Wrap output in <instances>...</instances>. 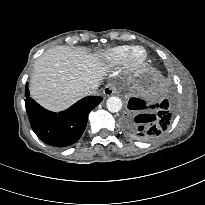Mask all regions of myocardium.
Wrapping results in <instances>:
<instances>
[{
	"instance_id": "myocardium-1",
	"label": "myocardium",
	"mask_w": 205,
	"mask_h": 205,
	"mask_svg": "<svg viewBox=\"0 0 205 205\" xmlns=\"http://www.w3.org/2000/svg\"><path fill=\"white\" fill-rule=\"evenodd\" d=\"M141 50L143 55L141 58L137 59L135 53ZM148 61V52L143 46H134L127 53L124 58L123 66L127 74H135L143 69Z\"/></svg>"
}]
</instances>
